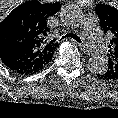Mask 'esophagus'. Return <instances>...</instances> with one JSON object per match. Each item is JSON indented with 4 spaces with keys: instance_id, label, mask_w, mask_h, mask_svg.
Listing matches in <instances>:
<instances>
[{
    "instance_id": "obj_1",
    "label": "esophagus",
    "mask_w": 118,
    "mask_h": 118,
    "mask_svg": "<svg viewBox=\"0 0 118 118\" xmlns=\"http://www.w3.org/2000/svg\"><path fill=\"white\" fill-rule=\"evenodd\" d=\"M79 46H80L81 50H82L85 54H88V55H89V54L92 53L91 49H90L88 46H86V45H84V44H80Z\"/></svg>"
}]
</instances>
